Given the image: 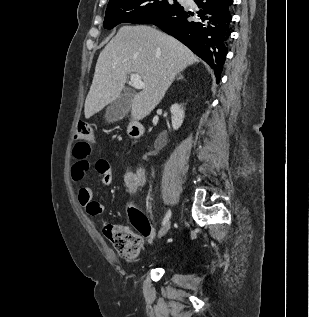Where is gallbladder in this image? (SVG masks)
I'll return each instance as SVG.
<instances>
[{"mask_svg": "<svg viewBox=\"0 0 309 317\" xmlns=\"http://www.w3.org/2000/svg\"><path fill=\"white\" fill-rule=\"evenodd\" d=\"M132 103V97L128 91L121 94L106 109L105 119L107 122H116L121 120L129 111Z\"/></svg>", "mask_w": 309, "mask_h": 317, "instance_id": "gallbladder-1", "label": "gallbladder"}]
</instances>
